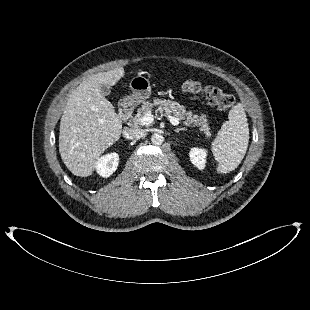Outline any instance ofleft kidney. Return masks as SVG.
<instances>
[{"mask_svg": "<svg viewBox=\"0 0 310 310\" xmlns=\"http://www.w3.org/2000/svg\"><path fill=\"white\" fill-rule=\"evenodd\" d=\"M207 153L204 149L192 148L190 151V160L193 165L199 169H204Z\"/></svg>", "mask_w": 310, "mask_h": 310, "instance_id": "1", "label": "left kidney"}]
</instances>
